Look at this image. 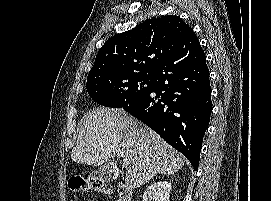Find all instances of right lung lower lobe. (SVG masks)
Instances as JSON below:
<instances>
[{"instance_id": "1", "label": "right lung lower lobe", "mask_w": 271, "mask_h": 201, "mask_svg": "<svg viewBox=\"0 0 271 201\" xmlns=\"http://www.w3.org/2000/svg\"><path fill=\"white\" fill-rule=\"evenodd\" d=\"M195 36L187 35L158 68L148 92L120 108L157 132L197 170L212 102L205 53Z\"/></svg>"}]
</instances>
